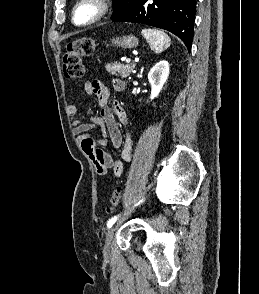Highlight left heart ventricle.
<instances>
[{
  "instance_id": "1",
  "label": "left heart ventricle",
  "mask_w": 259,
  "mask_h": 294,
  "mask_svg": "<svg viewBox=\"0 0 259 294\" xmlns=\"http://www.w3.org/2000/svg\"><path fill=\"white\" fill-rule=\"evenodd\" d=\"M97 6L94 3L84 4L77 13V22L83 23L93 18L97 13Z\"/></svg>"
}]
</instances>
